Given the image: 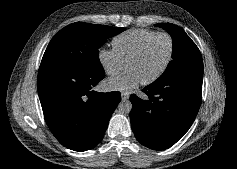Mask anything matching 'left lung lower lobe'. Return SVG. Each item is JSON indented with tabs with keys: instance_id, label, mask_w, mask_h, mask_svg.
Segmentation results:
<instances>
[{
	"instance_id": "1",
	"label": "left lung lower lobe",
	"mask_w": 237,
	"mask_h": 169,
	"mask_svg": "<svg viewBox=\"0 0 237 169\" xmlns=\"http://www.w3.org/2000/svg\"><path fill=\"white\" fill-rule=\"evenodd\" d=\"M203 71L154 82L142 100L130 96V120L137 140L154 150L174 145L191 127L201 104Z\"/></svg>"
}]
</instances>
